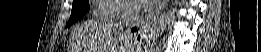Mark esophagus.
Returning <instances> with one entry per match:
<instances>
[{
  "instance_id": "obj_1",
  "label": "esophagus",
  "mask_w": 261,
  "mask_h": 52,
  "mask_svg": "<svg viewBox=\"0 0 261 52\" xmlns=\"http://www.w3.org/2000/svg\"><path fill=\"white\" fill-rule=\"evenodd\" d=\"M168 4V0H162L158 3V6L152 10L149 14H147L144 18H140L135 24H133L130 29L129 33L135 39L142 37L143 35L148 32L153 21L159 16V14L166 8Z\"/></svg>"
}]
</instances>
